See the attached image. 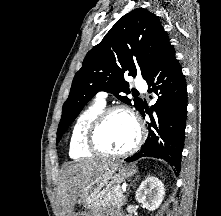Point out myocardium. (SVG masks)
Listing matches in <instances>:
<instances>
[{
  "label": "myocardium",
  "instance_id": "f54148a6",
  "mask_svg": "<svg viewBox=\"0 0 221 216\" xmlns=\"http://www.w3.org/2000/svg\"><path fill=\"white\" fill-rule=\"evenodd\" d=\"M117 112H123L125 114H127L133 121L135 127H136V131H137V135H136V139L133 142V144L128 147L127 149H125L124 151L121 152H109L107 150H105L98 142V134L99 131L102 127V125L105 123V121L114 113ZM144 135H145V130H144V126L143 123L140 119V117L128 106L126 105H113L107 108H104L96 117L95 119L90 123V125L88 126L87 130H86V135H85V144L86 147L89 151H91L92 153H95L97 155L100 156H105V157H124L127 156L131 153H133L134 151H136L143 139H144Z\"/></svg>",
  "mask_w": 221,
  "mask_h": 216
}]
</instances>
